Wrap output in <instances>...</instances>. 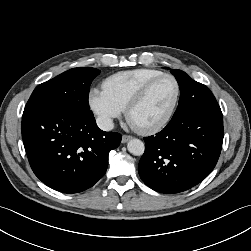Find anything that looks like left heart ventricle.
<instances>
[{"label":"left heart ventricle","mask_w":251,"mask_h":251,"mask_svg":"<svg viewBox=\"0 0 251 251\" xmlns=\"http://www.w3.org/2000/svg\"><path fill=\"white\" fill-rule=\"evenodd\" d=\"M175 96V84L170 78L159 80L150 89L144 101L134 110L133 121L148 125L159 121L169 110Z\"/></svg>","instance_id":"obj_1"}]
</instances>
